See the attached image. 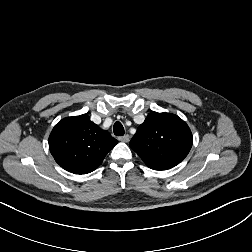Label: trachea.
<instances>
[{"label":"trachea","instance_id":"1","mask_svg":"<svg viewBox=\"0 0 252 252\" xmlns=\"http://www.w3.org/2000/svg\"><path fill=\"white\" fill-rule=\"evenodd\" d=\"M113 131L116 136H123L125 133L124 127L119 121L115 122L114 127H113Z\"/></svg>","mask_w":252,"mask_h":252}]
</instances>
